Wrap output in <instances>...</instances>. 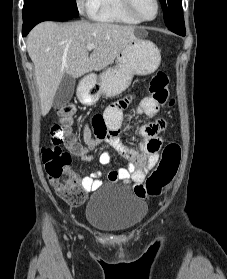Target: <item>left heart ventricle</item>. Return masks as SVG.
Instances as JSON below:
<instances>
[{"instance_id":"left-heart-ventricle-1","label":"left heart ventricle","mask_w":227,"mask_h":279,"mask_svg":"<svg viewBox=\"0 0 227 279\" xmlns=\"http://www.w3.org/2000/svg\"><path fill=\"white\" fill-rule=\"evenodd\" d=\"M137 13L143 18H152L156 13L154 0H133Z\"/></svg>"}]
</instances>
